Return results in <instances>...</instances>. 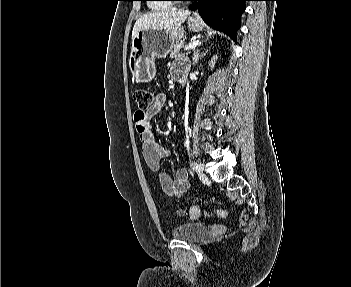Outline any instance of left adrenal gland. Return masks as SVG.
Here are the masks:
<instances>
[{
  "mask_svg": "<svg viewBox=\"0 0 351 287\" xmlns=\"http://www.w3.org/2000/svg\"><path fill=\"white\" fill-rule=\"evenodd\" d=\"M200 52V50H196V51H194V53H193V57H192V60H193V65L195 66L196 64H197V62L199 61V59H201L205 54H206V52H207V50L205 51V52H203V53H199Z\"/></svg>",
  "mask_w": 351,
  "mask_h": 287,
  "instance_id": "left-adrenal-gland-1",
  "label": "left adrenal gland"
}]
</instances>
